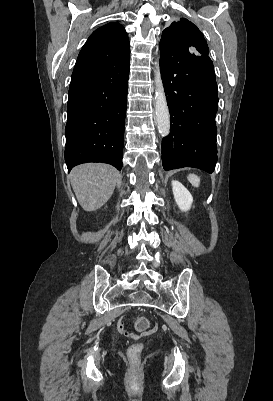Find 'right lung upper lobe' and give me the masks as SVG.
Returning a JSON list of instances; mask_svg holds the SVG:
<instances>
[{"mask_svg":"<svg viewBox=\"0 0 273 401\" xmlns=\"http://www.w3.org/2000/svg\"><path fill=\"white\" fill-rule=\"evenodd\" d=\"M130 58L129 39L122 25L108 23L96 29L83 46L70 87L93 79Z\"/></svg>","mask_w":273,"mask_h":401,"instance_id":"cb5924a9","label":"right lung upper lobe"}]
</instances>
